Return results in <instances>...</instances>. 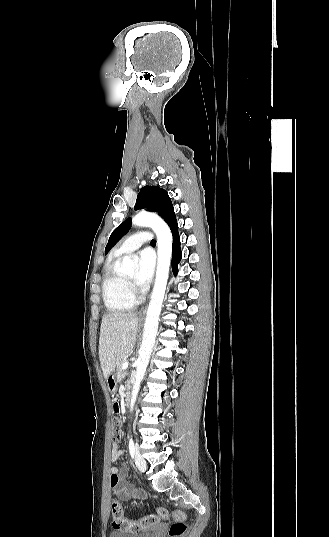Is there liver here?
<instances>
[{"mask_svg":"<svg viewBox=\"0 0 329 537\" xmlns=\"http://www.w3.org/2000/svg\"><path fill=\"white\" fill-rule=\"evenodd\" d=\"M139 319L129 313H111L102 318L99 338V359L104 377L115 370L120 361L131 353Z\"/></svg>","mask_w":329,"mask_h":537,"instance_id":"liver-1","label":"liver"}]
</instances>
